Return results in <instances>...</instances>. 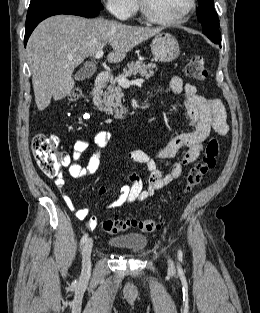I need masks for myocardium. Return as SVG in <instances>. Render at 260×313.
<instances>
[{
	"label": "myocardium",
	"instance_id": "f54148a6",
	"mask_svg": "<svg viewBox=\"0 0 260 313\" xmlns=\"http://www.w3.org/2000/svg\"><path fill=\"white\" fill-rule=\"evenodd\" d=\"M138 7L142 13V15L147 19L148 21L156 24H162V25H172L182 22L187 16H189L196 8V0H189V5L186 8L184 12L179 14L176 17L172 18H162L155 15L151 9L148 7L145 0H137Z\"/></svg>",
	"mask_w": 260,
	"mask_h": 313
}]
</instances>
